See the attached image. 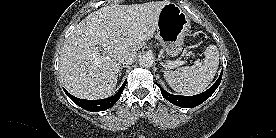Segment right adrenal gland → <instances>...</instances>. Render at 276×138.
<instances>
[{"instance_id": "1", "label": "right adrenal gland", "mask_w": 276, "mask_h": 138, "mask_svg": "<svg viewBox=\"0 0 276 138\" xmlns=\"http://www.w3.org/2000/svg\"><path fill=\"white\" fill-rule=\"evenodd\" d=\"M126 67H127L126 65H123V66L120 67V70H119V77H121V72H122L123 68H126Z\"/></svg>"}]
</instances>
